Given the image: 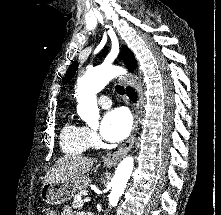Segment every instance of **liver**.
<instances>
[{
  "instance_id": "1",
  "label": "liver",
  "mask_w": 221,
  "mask_h": 215,
  "mask_svg": "<svg viewBox=\"0 0 221 215\" xmlns=\"http://www.w3.org/2000/svg\"><path fill=\"white\" fill-rule=\"evenodd\" d=\"M95 159L85 156H64L58 159L54 166L46 172L43 184L48 182H73L89 172Z\"/></svg>"
}]
</instances>
